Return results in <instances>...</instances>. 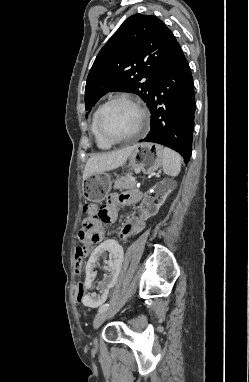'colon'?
Instances as JSON below:
<instances>
[{"instance_id": "colon-1", "label": "colon", "mask_w": 249, "mask_h": 382, "mask_svg": "<svg viewBox=\"0 0 249 382\" xmlns=\"http://www.w3.org/2000/svg\"><path fill=\"white\" fill-rule=\"evenodd\" d=\"M83 212L85 215L88 216V218L91 219H98L100 216L103 215L102 209L99 208L95 203H86L83 206ZM85 253L86 252L84 251V249H80L76 253V265L74 270L75 276H80L81 272L83 271L82 258L84 257ZM83 295H85V288L84 285L80 283L77 288L76 299L80 301Z\"/></svg>"}]
</instances>
